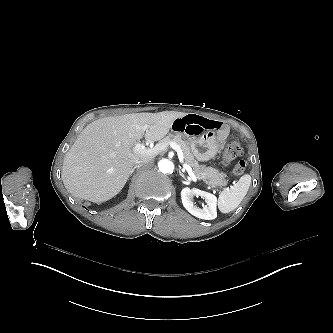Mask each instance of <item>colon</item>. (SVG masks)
<instances>
[{"label": "colon", "mask_w": 333, "mask_h": 333, "mask_svg": "<svg viewBox=\"0 0 333 333\" xmlns=\"http://www.w3.org/2000/svg\"><path fill=\"white\" fill-rule=\"evenodd\" d=\"M242 153L241 144L234 140L227 144L225 147L222 155H221V162L224 165H230L237 157H239ZM246 167L244 161H238L235 166L233 167V172L235 174H241Z\"/></svg>", "instance_id": "5ec220e1"}]
</instances>
